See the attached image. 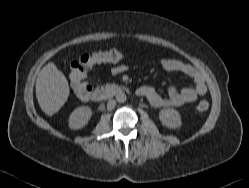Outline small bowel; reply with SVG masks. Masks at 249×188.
<instances>
[{
  "label": "small bowel",
  "instance_id": "1",
  "mask_svg": "<svg viewBox=\"0 0 249 188\" xmlns=\"http://www.w3.org/2000/svg\"><path fill=\"white\" fill-rule=\"evenodd\" d=\"M160 64L166 71L180 72L188 76L194 82V86L178 90L171 84L167 89L166 96L160 95L152 86L139 87L136 92L137 95L145 97L153 107H180L187 103L194 102L207 93L204 78L192 65L173 58H164ZM126 68V65L119 64L113 68V72L119 74L124 72Z\"/></svg>",
  "mask_w": 249,
  "mask_h": 188
}]
</instances>
